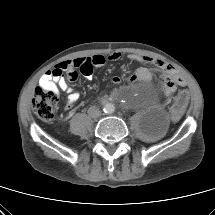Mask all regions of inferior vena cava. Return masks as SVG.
Returning <instances> with one entry per match:
<instances>
[{"label":"inferior vena cava","mask_w":215,"mask_h":215,"mask_svg":"<svg viewBox=\"0 0 215 215\" xmlns=\"http://www.w3.org/2000/svg\"><path fill=\"white\" fill-rule=\"evenodd\" d=\"M88 114L92 118H98L101 116V111L95 106H92L88 109Z\"/></svg>","instance_id":"obj_1"}]
</instances>
